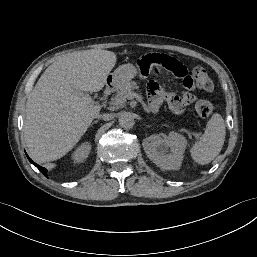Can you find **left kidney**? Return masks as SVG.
<instances>
[{
	"label": "left kidney",
	"instance_id": "obj_1",
	"mask_svg": "<svg viewBox=\"0 0 257 257\" xmlns=\"http://www.w3.org/2000/svg\"><path fill=\"white\" fill-rule=\"evenodd\" d=\"M147 157L164 170L179 169L187 145L184 136L170 132L168 136L151 135L143 140Z\"/></svg>",
	"mask_w": 257,
	"mask_h": 257
}]
</instances>
